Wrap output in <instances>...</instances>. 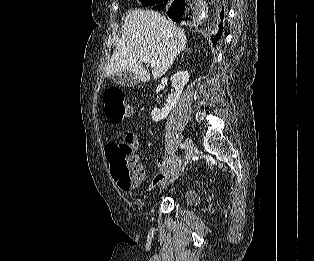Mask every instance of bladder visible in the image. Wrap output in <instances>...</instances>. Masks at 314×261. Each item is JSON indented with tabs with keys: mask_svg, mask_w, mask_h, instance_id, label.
Returning a JSON list of instances; mask_svg holds the SVG:
<instances>
[{
	"mask_svg": "<svg viewBox=\"0 0 314 261\" xmlns=\"http://www.w3.org/2000/svg\"><path fill=\"white\" fill-rule=\"evenodd\" d=\"M184 197L187 201L191 202V203H195L198 200V194L195 190L193 189H188L185 191L184 193Z\"/></svg>",
	"mask_w": 314,
	"mask_h": 261,
	"instance_id": "1",
	"label": "bladder"
}]
</instances>
